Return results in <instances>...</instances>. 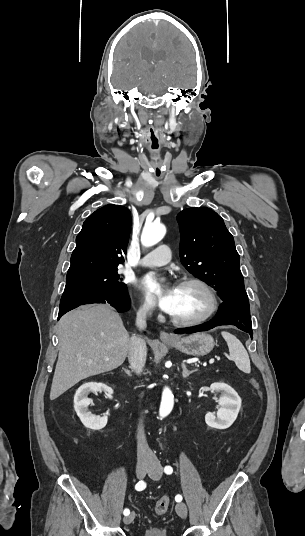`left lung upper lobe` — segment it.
Segmentation results:
<instances>
[{
    "instance_id": "1",
    "label": "left lung upper lobe",
    "mask_w": 305,
    "mask_h": 536,
    "mask_svg": "<svg viewBox=\"0 0 305 536\" xmlns=\"http://www.w3.org/2000/svg\"><path fill=\"white\" fill-rule=\"evenodd\" d=\"M180 260L193 275L214 287L224 302L248 300L240 257L223 219L209 208L181 211Z\"/></svg>"
}]
</instances>
